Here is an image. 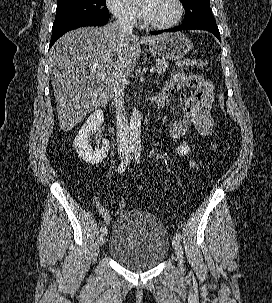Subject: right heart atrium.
Masks as SVG:
<instances>
[{
    "label": "right heart atrium",
    "mask_w": 272,
    "mask_h": 303,
    "mask_svg": "<svg viewBox=\"0 0 272 303\" xmlns=\"http://www.w3.org/2000/svg\"><path fill=\"white\" fill-rule=\"evenodd\" d=\"M106 5L109 11L120 22L133 24L137 21L138 11L130 0H106Z\"/></svg>",
    "instance_id": "d8ad5b80"
}]
</instances>
